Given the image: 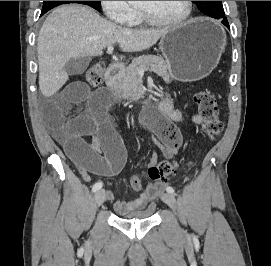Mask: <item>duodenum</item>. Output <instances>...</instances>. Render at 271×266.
Returning <instances> with one entry per match:
<instances>
[{
  "label": "duodenum",
  "mask_w": 271,
  "mask_h": 266,
  "mask_svg": "<svg viewBox=\"0 0 271 266\" xmlns=\"http://www.w3.org/2000/svg\"><path fill=\"white\" fill-rule=\"evenodd\" d=\"M122 65L118 62L112 63L106 70L105 82L109 89L119 93V83L122 77Z\"/></svg>",
  "instance_id": "410a0bca"
}]
</instances>
